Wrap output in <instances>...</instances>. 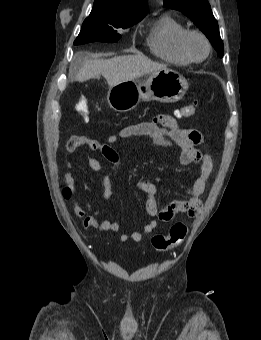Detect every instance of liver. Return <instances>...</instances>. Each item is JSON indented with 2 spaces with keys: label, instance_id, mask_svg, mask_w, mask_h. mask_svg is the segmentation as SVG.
Here are the masks:
<instances>
[{
  "label": "liver",
  "instance_id": "1",
  "mask_svg": "<svg viewBox=\"0 0 261 340\" xmlns=\"http://www.w3.org/2000/svg\"><path fill=\"white\" fill-rule=\"evenodd\" d=\"M166 69L165 64L157 63L144 55H124L111 59H86L76 74L78 82L102 75L109 87L125 81L135 80L143 75Z\"/></svg>",
  "mask_w": 261,
  "mask_h": 340
}]
</instances>
